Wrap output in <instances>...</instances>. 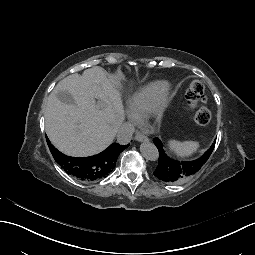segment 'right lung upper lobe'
Segmentation results:
<instances>
[{
	"label": "right lung upper lobe",
	"mask_w": 255,
	"mask_h": 255,
	"mask_svg": "<svg viewBox=\"0 0 255 255\" xmlns=\"http://www.w3.org/2000/svg\"><path fill=\"white\" fill-rule=\"evenodd\" d=\"M49 149L55 159V161L70 175L75 176L76 178L91 182L99 180L107 176L115 167L117 158L119 154L128 147V145H120L118 143L111 144L103 152L90 156L92 161H96L99 164V169L94 171V178L90 181H87L83 178V162L86 157L76 158L67 156L59 152L51 143L48 141Z\"/></svg>",
	"instance_id": "1"
}]
</instances>
